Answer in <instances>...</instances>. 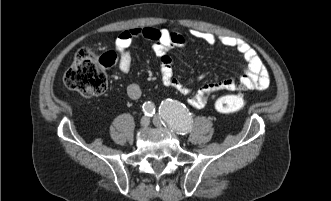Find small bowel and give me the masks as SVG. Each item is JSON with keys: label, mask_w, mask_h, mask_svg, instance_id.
<instances>
[{"label": "small bowel", "mask_w": 331, "mask_h": 201, "mask_svg": "<svg viewBox=\"0 0 331 201\" xmlns=\"http://www.w3.org/2000/svg\"><path fill=\"white\" fill-rule=\"evenodd\" d=\"M191 35L202 40L208 45L220 44L233 48L240 53L246 63L243 75L235 80L226 78L217 82L203 85L196 93L185 86L175 75L172 68V61L167 51L183 47L186 43L184 36L168 29L153 27L131 28L122 31L115 40L116 56L119 60V69L128 73L131 69L132 42L137 38L153 42L154 51L160 59L161 79L164 85L177 90L183 95H190L188 102L192 107L200 108L206 104L210 96L218 91H235L240 89L265 90L270 84V76L256 51L245 41L226 35H215L209 32L191 30ZM130 99L137 100L142 95V89L137 83H130L126 88Z\"/></svg>", "instance_id": "1"}]
</instances>
